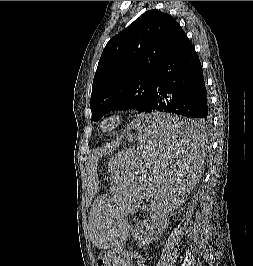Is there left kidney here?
<instances>
[{
    "mask_svg": "<svg viewBox=\"0 0 253 266\" xmlns=\"http://www.w3.org/2000/svg\"><path fill=\"white\" fill-rule=\"evenodd\" d=\"M160 226L159 219L144 220L130 229L131 235L138 243H148L156 235V229Z\"/></svg>",
    "mask_w": 253,
    "mask_h": 266,
    "instance_id": "obj_1",
    "label": "left kidney"
}]
</instances>
